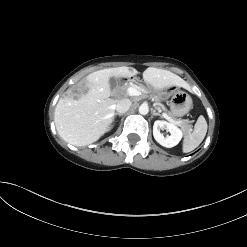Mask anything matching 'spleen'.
<instances>
[{"label":"spleen","mask_w":247,"mask_h":247,"mask_svg":"<svg viewBox=\"0 0 247 247\" xmlns=\"http://www.w3.org/2000/svg\"><path fill=\"white\" fill-rule=\"evenodd\" d=\"M207 132V122L203 115H200L195 123L194 130L189 135L185 136L183 140L182 150L184 153H188L197 148Z\"/></svg>","instance_id":"spleen-1"}]
</instances>
